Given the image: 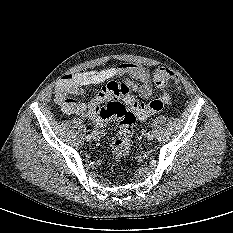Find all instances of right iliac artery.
<instances>
[{"label":"right iliac artery","mask_w":233,"mask_h":233,"mask_svg":"<svg viewBox=\"0 0 233 233\" xmlns=\"http://www.w3.org/2000/svg\"><path fill=\"white\" fill-rule=\"evenodd\" d=\"M91 138H92V136H90V135H87V136H86V140H87V141H90Z\"/></svg>","instance_id":"1"}]
</instances>
